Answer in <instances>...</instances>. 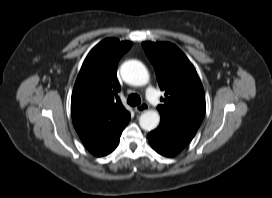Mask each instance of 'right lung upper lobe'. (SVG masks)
<instances>
[{
  "instance_id": "1",
  "label": "right lung upper lobe",
  "mask_w": 272,
  "mask_h": 198,
  "mask_svg": "<svg viewBox=\"0 0 272 198\" xmlns=\"http://www.w3.org/2000/svg\"><path fill=\"white\" fill-rule=\"evenodd\" d=\"M131 46L129 41L107 38L98 43L83 62L72 92L71 114L86 148L101 142L130 115L117 95L120 85L116 69Z\"/></svg>"
}]
</instances>
